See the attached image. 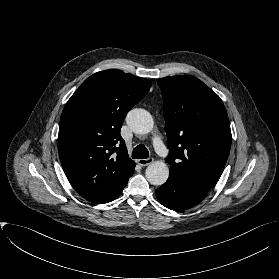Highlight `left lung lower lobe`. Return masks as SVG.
Segmentation results:
<instances>
[{"mask_svg":"<svg viewBox=\"0 0 279 279\" xmlns=\"http://www.w3.org/2000/svg\"><path fill=\"white\" fill-rule=\"evenodd\" d=\"M156 197L165 207L182 211L200 203L207 195V191L184 183L169 175L166 183L156 189Z\"/></svg>","mask_w":279,"mask_h":279,"instance_id":"0a47b994","label":"left lung lower lobe"}]
</instances>
